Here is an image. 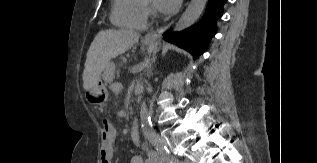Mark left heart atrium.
Listing matches in <instances>:
<instances>
[{"instance_id": "39dd6f15", "label": "left heart atrium", "mask_w": 317, "mask_h": 163, "mask_svg": "<svg viewBox=\"0 0 317 163\" xmlns=\"http://www.w3.org/2000/svg\"><path fill=\"white\" fill-rule=\"evenodd\" d=\"M181 0H153L154 9L163 15L173 13L180 4Z\"/></svg>"}]
</instances>
